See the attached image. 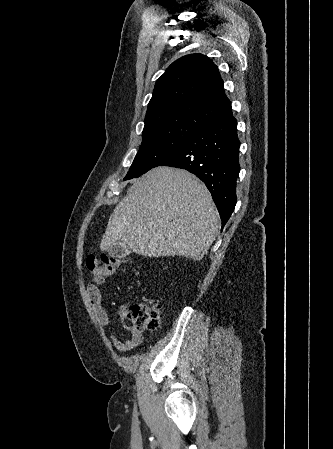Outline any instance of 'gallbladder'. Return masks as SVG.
<instances>
[{
  "instance_id": "obj_1",
  "label": "gallbladder",
  "mask_w": 333,
  "mask_h": 449,
  "mask_svg": "<svg viewBox=\"0 0 333 449\" xmlns=\"http://www.w3.org/2000/svg\"><path fill=\"white\" fill-rule=\"evenodd\" d=\"M107 252L110 257L123 258L131 253V249L127 245H123L122 243L118 242L110 247Z\"/></svg>"
}]
</instances>
